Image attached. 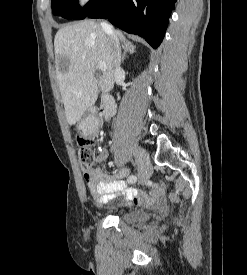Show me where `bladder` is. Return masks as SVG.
Wrapping results in <instances>:
<instances>
[{"label": "bladder", "mask_w": 247, "mask_h": 275, "mask_svg": "<svg viewBox=\"0 0 247 275\" xmlns=\"http://www.w3.org/2000/svg\"><path fill=\"white\" fill-rule=\"evenodd\" d=\"M151 220V213L144 210H134L121 217V221L128 224H144Z\"/></svg>", "instance_id": "bladder-1"}]
</instances>
